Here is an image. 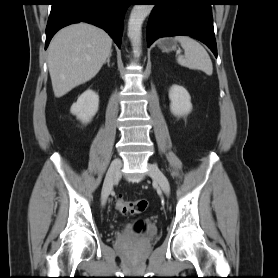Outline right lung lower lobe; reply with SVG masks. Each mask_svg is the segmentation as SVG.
<instances>
[{
    "label": "right lung lower lobe",
    "mask_w": 278,
    "mask_h": 278,
    "mask_svg": "<svg viewBox=\"0 0 278 278\" xmlns=\"http://www.w3.org/2000/svg\"><path fill=\"white\" fill-rule=\"evenodd\" d=\"M130 2V0H52L46 27L45 49L59 29L81 21L104 29L120 48L124 14Z\"/></svg>",
    "instance_id": "1"
}]
</instances>
